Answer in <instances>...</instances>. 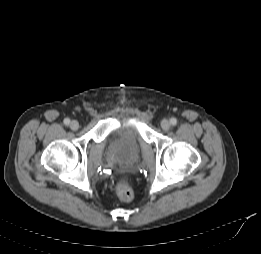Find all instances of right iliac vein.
I'll return each instance as SVG.
<instances>
[{
    "label": "right iliac vein",
    "mask_w": 261,
    "mask_h": 254,
    "mask_svg": "<svg viewBox=\"0 0 261 254\" xmlns=\"http://www.w3.org/2000/svg\"><path fill=\"white\" fill-rule=\"evenodd\" d=\"M70 128L72 130H77L79 128V122L77 120H73L70 123Z\"/></svg>",
    "instance_id": "1"
}]
</instances>
